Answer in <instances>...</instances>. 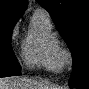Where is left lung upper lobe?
I'll return each instance as SVG.
<instances>
[{"label": "left lung upper lobe", "instance_id": "left-lung-upper-lobe-1", "mask_svg": "<svg viewBox=\"0 0 89 89\" xmlns=\"http://www.w3.org/2000/svg\"><path fill=\"white\" fill-rule=\"evenodd\" d=\"M51 15L73 58L71 88L89 89V0H36Z\"/></svg>", "mask_w": 89, "mask_h": 89}]
</instances>
